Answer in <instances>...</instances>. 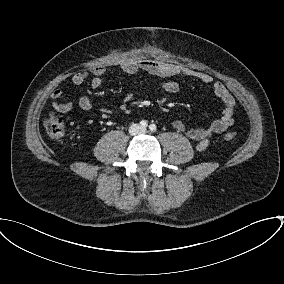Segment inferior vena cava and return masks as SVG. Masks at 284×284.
<instances>
[{
  "mask_svg": "<svg viewBox=\"0 0 284 284\" xmlns=\"http://www.w3.org/2000/svg\"><path fill=\"white\" fill-rule=\"evenodd\" d=\"M143 132H144V129L139 124H132L129 127V133L131 135H137V134H141Z\"/></svg>",
  "mask_w": 284,
  "mask_h": 284,
  "instance_id": "obj_1",
  "label": "inferior vena cava"
}]
</instances>
